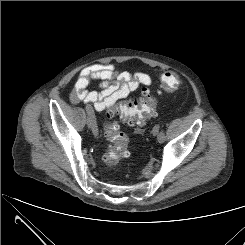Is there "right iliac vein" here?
<instances>
[{
	"label": "right iliac vein",
	"instance_id": "63e3f726",
	"mask_svg": "<svg viewBox=\"0 0 245 245\" xmlns=\"http://www.w3.org/2000/svg\"><path fill=\"white\" fill-rule=\"evenodd\" d=\"M86 107H91V105H87ZM86 124H87V126H88L89 128H92V127H93L92 119H91L90 117H88V118L86 119ZM92 129H93V128H92ZM92 131H93V130H92ZM93 133H94V132H93ZM94 135L97 136L96 133H94Z\"/></svg>",
	"mask_w": 245,
	"mask_h": 245
}]
</instances>
